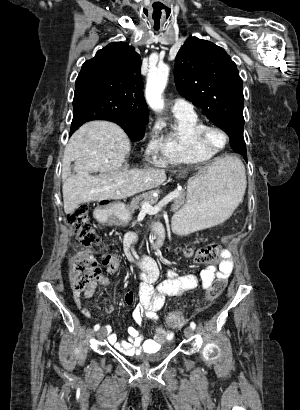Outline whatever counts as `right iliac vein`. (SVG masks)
<instances>
[{"label": "right iliac vein", "mask_w": 300, "mask_h": 410, "mask_svg": "<svg viewBox=\"0 0 300 410\" xmlns=\"http://www.w3.org/2000/svg\"><path fill=\"white\" fill-rule=\"evenodd\" d=\"M104 334H105V331H104L103 328H101V329L96 333V335H97L98 338H102V337L104 336Z\"/></svg>", "instance_id": "63e3f726"}]
</instances>
